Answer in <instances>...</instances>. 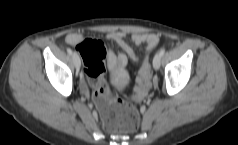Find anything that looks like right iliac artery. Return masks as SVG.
I'll list each match as a JSON object with an SVG mask.
<instances>
[{"label":"right iliac artery","mask_w":238,"mask_h":145,"mask_svg":"<svg viewBox=\"0 0 238 145\" xmlns=\"http://www.w3.org/2000/svg\"><path fill=\"white\" fill-rule=\"evenodd\" d=\"M67 52L72 55V50L70 48H67Z\"/></svg>","instance_id":"1"}]
</instances>
